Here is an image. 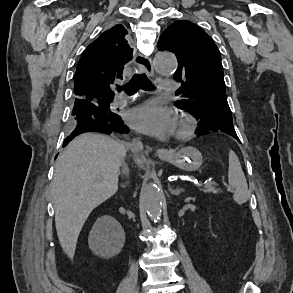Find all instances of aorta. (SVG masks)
<instances>
[{
  "label": "aorta",
  "mask_w": 293,
  "mask_h": 293,
  "mask_svg": "<svg viewBox=\"0 0 293 293\" xmlns=\"http://www.w3.org/2000/svg\"><path fill=\"white\" fill-rule=\"evenodd\" d=\"M156 69L160 73H171L176 68V58L172 53L159 51L155 55ZM144 206L150 219L157 222L162 214V195L158 186L148 183L142 191Z\"/></svg>",
  "instance_id": "762f6f07"
}]
</instances>
